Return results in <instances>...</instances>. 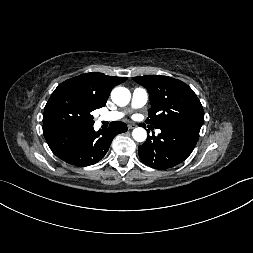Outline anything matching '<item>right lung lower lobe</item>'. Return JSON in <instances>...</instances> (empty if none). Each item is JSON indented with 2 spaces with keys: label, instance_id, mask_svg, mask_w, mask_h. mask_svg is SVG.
<instances>
[{
  "label": "right lung lower lobe",
  "instance_id": "1",
  "mask_svg": "<svg viewBox=\"0 0 253 253\" xmlns=\"http://www.w3.org/2000/svg\"><path fill=\"white\" fill-rule=\"evenodd\" d=\"M127 131L123 122H112L106 130L95 131L93 125L62 127L43 131L52 152L61 160L79 167L100 161L107 153L111 141Z\"/></svg>",
  "mask_w": 253,
  "mask_h": 253
}]
</instances>
